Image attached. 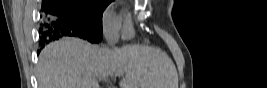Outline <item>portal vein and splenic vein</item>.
<instances>
[{"mask_svg":"<svg viewBox=\"0 0 267 88\" xmlns=\"http://www.w3.org/2000/svg\"><path fill=\"white\" fill-rule=\"evenodd\" d=\"M116 75H117V76H122L123 73H122V72H117Z\"/></svg>","mask_w":267,"mask_h":88,"instance_id":"18ae733b","label":"portal vein and splenic vein"}]
</instances>
